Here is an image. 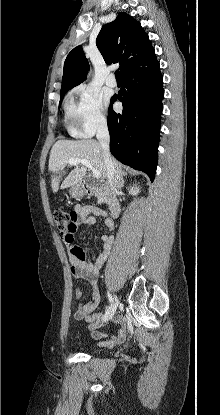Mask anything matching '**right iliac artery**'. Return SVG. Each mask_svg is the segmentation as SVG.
Wrapping results in <instances>:
<instances>
[{
  "mask_svg": "<svg viewBox=\"0 0 220 415\" xmlns=\"http://www.w3.org/2000/svg\"><path fill=\"white\" fill-rule=\"evenodd\" d=\"M107 295H108L109 302L112 305V303H113L114 300H113V298H112V296H111V294L109 292L107 293Z\"/></svg>",
  "mask_w": 220,
  "mask_h": 415,
  "instance_id": "82829eb1",
  "label": "right iliac artery"
}]
</instances>
